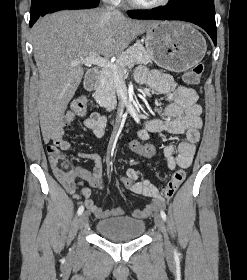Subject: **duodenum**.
<instances>
[{
  "instance_id": "duodenum-1",
  "label": "duodenum",
  "mask_w": 247,
  "mask_h": 280,
  "mask_svg": "<svg viewBox=\"0 0 247 280\" xmlns=\"http://www.w3.org/2000/svg\"><path fill=\"white\" fill-rule=\"evenodd\" d=\"M99 77V70L93 69L89 71L85 78V88L89 91L94 90L98 84Z\"/></svg>"
}]
</instances>
